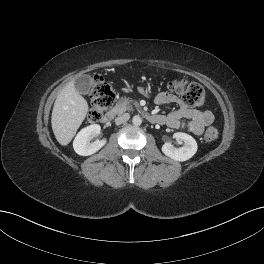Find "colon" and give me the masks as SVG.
Returning a JSON list of instances; mask_svg holds the SVG:
<instances>
[{"label": "colon", "instance_id": "obj_1", "mask_svg": "<svg viewBox=\"0 0 264 264\" xmlns=\"http://www.w3.org/2000/svg\"><path fill=\"white\" fill-rule=\"evenodd\" d=\"M170 91L181 96L182 102L187 106H200L204 102L203 87L194 82L174 78L167 84ZM115 101V92L111 85L100 75H95L92 80L90 92V109L88 112V120L96 122L101 119L103 113L109 109ZM219 131L216 127L207 128L204 138L208 142L216 140Z\"/></svg>", "mask_w": 264, "mask_h": 264}]
</instances>
